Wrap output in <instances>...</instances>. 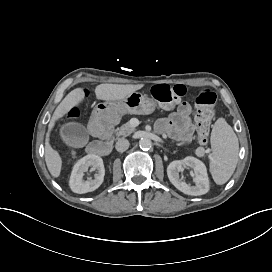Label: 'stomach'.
<instances>
[{"mask_svg": "<svg viewBox=\"0 0 272 272\" xmlns=\"http://www.w3.org/2000/svg\"><path fill=\"white\" fill-rule=\"evenodd\" d=\"M106 104L109 108H113L121 115L126 113L138 115L151 114L156 106V103L152 98L136 91L120 100L108 101Z\"/></svg>", "mask_w": 272, "mask_h": 272, "instance_id": "obj_1", "label": "stomach"}]
</instances>
